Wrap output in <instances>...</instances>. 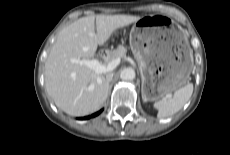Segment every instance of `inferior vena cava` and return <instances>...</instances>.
Returning <instances> with one entry per match:
<instances>
[{"mask_svg":"<svg viewBox=\"0 0 230 155\" xmlns=\"http://www.w3.org/2000/svg\"><path fill=\"white\" fill-rule=\"evenodd\" d=\"M112 78H113V74H112V73L106 74V80H107L108 82H110V81L112 80Z\"/></svg>","mask_w":230,"mask_h":155,"instance_id":"1","label":"inferior vena cava"}]
</instances>
